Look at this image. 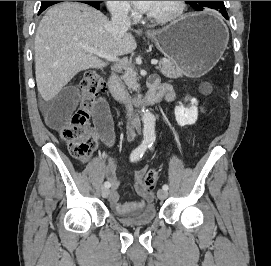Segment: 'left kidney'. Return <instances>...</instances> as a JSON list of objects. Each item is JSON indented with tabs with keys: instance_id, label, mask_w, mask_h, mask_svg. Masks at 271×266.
<instances>
[{
	"instance_id": "left-kidney-1",
	"label": "left kidney",
	"mask_w": 271,
	"mask_h": 266,
	"mask_svg": "<svg viewBox=\"0 0 271 266\" xmlns=\"http://www.w3.org/2000/svg\"><path fill=\"white\" fill-rule=\"evenodd\" d=\"M198 101L195 98H191V106L185 107L183 104H179L175 107V118L179 126L193 125L198 118Z\"/></svg>"
}]
</instances>
